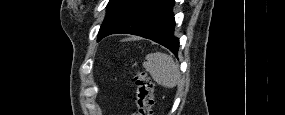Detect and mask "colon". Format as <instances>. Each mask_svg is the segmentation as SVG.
Wrapping results in <instances>:
<instances>
[{
    "label": "colon",
    "mask_w": 285,
    "mask_h": 115,
    "mask_svg": "<svg viewBox=\"0 0 285 115\" xmlns=\"http://www.w3.org/2000/svg\"><path fill=\"white\" fill-rule=\"evenodd\" d=\"M134 80L137 87L136 107L139 115H152L154 106V84L144 72L135 71Z\"/></svg>",
    "instance_id": "5ec220e1"
}]
</instances>
